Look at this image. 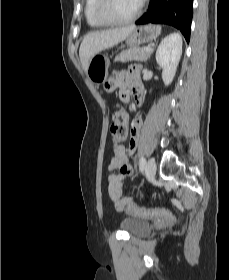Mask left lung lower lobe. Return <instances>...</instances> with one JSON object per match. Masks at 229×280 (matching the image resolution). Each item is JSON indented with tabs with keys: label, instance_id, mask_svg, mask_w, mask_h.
Instances as JSON below:
<instances>
[{
	"label": "left lung lower lobe",
	"instance_id": "1",
	"mask_svg": "<svg viewBox=\"0 0 229 280\" xmlns=\"http://www.w3.org/2000/svg\"><path fill=\"white\" fill-rule=\"evenodd\" d=\"M193 0H151L148 11L136 24H168L179 29L187 42L190 39Z\"/></svg>",
	"mask_w": 229,
	"mask_h": 280
}]
</instances>
